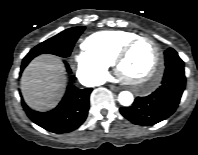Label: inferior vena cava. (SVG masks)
Masks as SVG:
<instances>
[{
  "mask_svg": "<svg viewBox=\"0 0 198 155\" xmlns=\"http://www.w3.org/2000/svg\"><path fill=\"white\" fill-rule=\"evenodd\" d=\"M81 83L84 84L85 86L93 87V86L102 85L104 83V80L100 78L88 77L81 80Z\"/></svg>",
  "mask_w": 198,
  "mask_h": 155,
  "instance_id": "inferior-vena-cava-1",
  "label": "inferior vena cava"
}]
</instances>
